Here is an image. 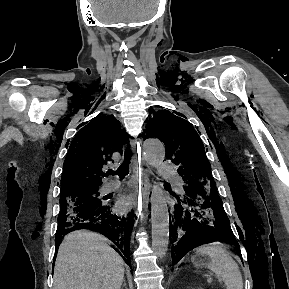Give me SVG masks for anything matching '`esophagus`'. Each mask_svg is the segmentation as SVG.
Instances as JSON below:
<instances>
[{"mask_svg": "<svg viewBox=\"0 0 289 289\" xmlns=\"http://www.w3.org/2000/svg\"><path fill=\"white\" fill-rule=\"evenodd\" d=\"M134 152L136 153V160L132 167V179L134 187L142 188V204L141 208L144 212L148 210L149 195H150V171L147 164L141 155V148L139 143L134 139L131 141ZM138 158V163H137Z\"/></svg>", "mask_w": 289, "mask_h": 289, "instance_id": "esophagus-1", "label": "esophagus"}]
</instances>
